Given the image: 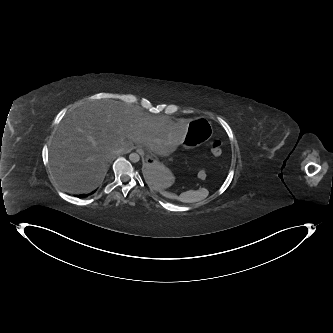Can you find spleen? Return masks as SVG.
<instances>
[{
	"mask_svg": "<svg viewBox=\"0 0 333 333\" xmlns=\"http://www.w3.org/2000/svg\"><path fill=\"white\" fill-rule=\"evenodd\" d=\"M165 194V196L169 200L178 201V202H197L205 199L208 196V191L206 189L199 191H187L185 193H179L175 191L168 190L167 192L161 193Z\"/></svg>",
	"mask_w": 333,
	"mask_h": 333,
	"instance_id": "obj_1",
	"label": "spleen"
}]
</instances>
